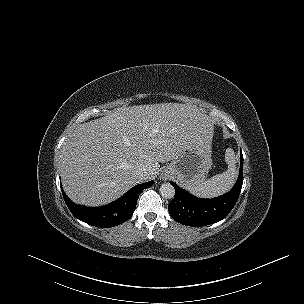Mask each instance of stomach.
<instances>
[{
  "label": "stomach",
  "mask_w": 304,
  "mask_h": 304,
  "mask_svg": "<svg viewBox=\"0 0 304 304\" xmlns=\"http://www.w3.org/2000/svg\"><path fill=\"white\" fill-rule=\"evenodd\" d=\"M211 148L195 142L164 169L163 175L190 189L201 184L212 167Z\"/></svg>",
  "instance_id": "stomach-1"
}]
</instances>
